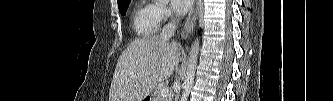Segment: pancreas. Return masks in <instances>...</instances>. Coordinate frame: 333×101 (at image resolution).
Wrapping results in <instances>:
<instances>
[{"label":"pancreas","instance_id":"cf45deb5","mask_svg":"<svg viewBox=\"0 0 333 101\" xmlns=\"http://www.w3.org/2000/svg\"><path fill=\"white\" fill-rule=\"evenodd\" d=\"M171 94H169L166 97L161 96L160 92L157 94V96L155 97L154 101H171Z\"/></svg>","mask_w":333,"mask_h":101}]
</instances>
